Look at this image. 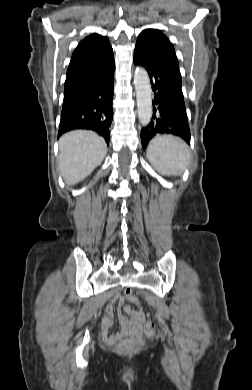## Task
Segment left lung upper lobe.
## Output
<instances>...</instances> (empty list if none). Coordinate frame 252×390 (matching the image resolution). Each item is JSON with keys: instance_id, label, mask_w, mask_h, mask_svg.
I'll list each match as a JSON object with an SVG mask.
<instances>
[{"instance_id": "1", "label": "left lung upper lobe", "mask_w": 252, "mask_h": 390, "mask_svg": "<svg viewBox=\"0 0 252 390\" xmlns=\"http://www.w3.org/2000/svg\"><path fill=\"white\" fill-rule=\"evenodd\" d=\"M136 44L144 46L153 54L167 60L170 64L179 69V63L174 47L169 39L160 30H143L139 34Z\"/></svg>"}]
</instances>
